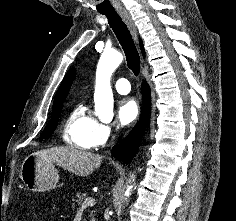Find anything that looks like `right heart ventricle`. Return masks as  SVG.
<instances>
[{"instance_id":"obj_1","label":"right heart ventricle","mask_w":236,"mask_h":221,"mask_svg":"<svg viewBox=\"0 0 236 221\" xmlns=\"http://www.w3.org/2000/svg\"><path fill=\"white\" fill-rule=\"evenodd\" d=\"M98 121L85 102L78 103L69 113L63 128L64 141L77 149L89 150L94 145Z\"/></svg>"}]
</instances>
